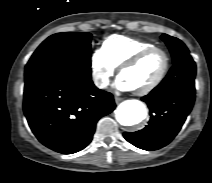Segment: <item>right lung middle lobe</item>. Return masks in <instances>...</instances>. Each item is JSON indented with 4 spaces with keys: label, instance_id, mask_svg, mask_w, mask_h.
Here are the masks:
<instances>
[{
    "label": "right lung middle lobe",
    "instance_id": "dd1d6c3e",
    "mask_svg": "<svg viewBox=\"0 0 212 183\" xmlns=\"http://www.w3.org/2000/svg\"><path fill=\"white\" fill-rule=\"evenodd\" d=\"M63 63L91 66L90 33L66 32L51 35L36 49L26 66Z\"/></svg>",
    "mask_w": 212,
    "mask_h": 183
}]
</instances>
